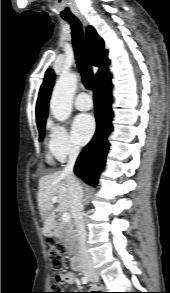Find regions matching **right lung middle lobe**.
Segmentation results:
<instances>
[{
	"label": "right lung middle lobe",
	"mask_w": 170,
	"mask_h": 293,
	"mask_svg": "<svg viewBox=\"0 0 170 293\" xmlns=\"http://www.w3.org/2000/svg\"><path fill=\"white\" fill-rule=\"evenodd\" d=\"M39 129V133H40V141L43 139L44 137V127L42 128H38Z\"/></svg>",
	"instance_id": "1"
}]
</instances>
